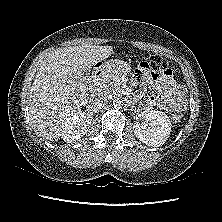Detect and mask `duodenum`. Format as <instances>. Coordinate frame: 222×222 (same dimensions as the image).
Masks as SVG:
<instances>
[{
    "instance_id": "obj_1",
    "label": "duodenum",
    "mask_w": 222,
    "mask_h": 222,
    "mask_svg": "<svg viewBox=\"0 0 222 222\" xmlns=\"http://www.w3.org/2000/svg\"><path fill=\"white\" fill-rule=\"evenodd\" d=\"M105 76V71L102 67H99L91 76L89 80V87L92 91H95L103 77Z\"/></svg>"
}]
</instances>
